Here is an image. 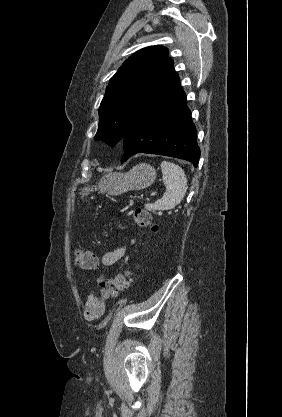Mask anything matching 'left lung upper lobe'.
Here are the masks:
<instances>
[{"instance_id":"1","label":"left lung upper lobe","mask_w":282,"mask_h":417,"mask_svg":"<svg viewBox=\"0 0 282 417\" xmlns=\"http://www.w3.org/2000/svg\"><path fill=\"white\" fill-rule=\"evenodd\" d=\"M174 63L168 49L150 46L130 56L110 79L99 108L96 140L113 146L123 136L132 113L153 92Z\"/></svg>"}]
</instances>
